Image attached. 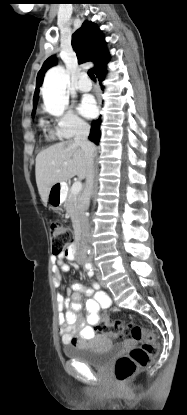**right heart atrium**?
Masks as SVG:
<instances>
[{
	"label": "right heart atrium",
	"instance_id": "right-heart-atrium-1",
	"mask_svg": "<svg viewBox=\"0 0 187 415\" xmlns=\"http://www.w3.org/2000/svg\"><path fill=\"white\" fill-rule=\"evenodd\" d=\"M54 122L56 133L62 139H70L88 130L87 123L71 110L55 118Z\"/></svg>",
	"mask_w": 187,
	"mask_h": 415
}]
</instances>
